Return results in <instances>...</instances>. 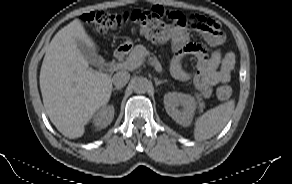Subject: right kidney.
<instances>
[{"instance_id": "right-kidney-1", "label": "right kidney", "mask_w": 292, "mask_h": 184, "mask_svg": "<svg viewBox=\"0 0 292 184\" xmlns=\"http://www.w3.org/2000/svg\"><path fill=\"white\" fill-rule=\"evenodd\" d=\"M114 106L108 105L103 106L99 111H97L93 118L92 123L97 129L106 128L114 118Z\"/></svg>"}]
</instances>
